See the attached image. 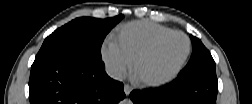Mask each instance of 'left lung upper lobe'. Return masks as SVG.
I'll use <instances>...</instances> for the list:
<instances>
[{
    "label": "left lung upper lobe",
    "mask_w": 252,
    "mask_h": 104,
    "mask_svg": "<svg viewBox=\"0 0 252 104\" xmlns=\"http://www.w3.org/2000/svg\"><path fill=\"white\" fill-rule=\"evenodd\" d=\"M192 40L193 53L187 66L179 75H187L201 71H215V62L210 52L205 48L202 42L190 35Z\"/></svg>",
    "instance_id": "obj_1"
}]
</instances>
